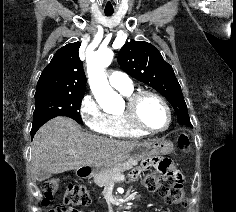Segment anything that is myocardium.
Listing matches in <instances>:
<instances>
[{"label":"myocardium","mask_w":236,"mask_h":212,"mask_svg":"<svg viewBox=\"0 0 236 212\" xmlns=\"http://www.w3.org/2000/svg\"><path fill=\"white\" fill-rule=\"evenodd\" d=\"M146 97H152L158 100L164 106L168 115V122L165 127L161 129H151L142 123L140 118V107L142 101ZM121 113L124 115L131 127L143 134H158L164 132L171 126L173 120L172 110L166 99L160 94L151 90L133 91L129 96L126 97L124 108Z\"/></svg>","instance_id":"1"}]
</instances>
